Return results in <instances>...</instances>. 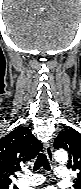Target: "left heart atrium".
Segmentation results:
<instances>
[{"instance_id": "obj_1", "label": "left heart atrium", "mask_w": 81, "mask_h": 189, "mask_svg": "<svg viewBox=\"0 0 81 189\" xmlns=\"http://www.w3.org/2000/svg\"><path fill=\"white\" fill-rule=\"evenodd\" d=\"M44 189H56V188L53 187V186H49V187H46V188H44Z\"/></svg>"}]
</instances>
